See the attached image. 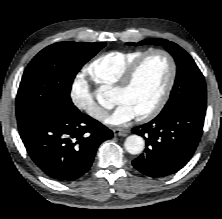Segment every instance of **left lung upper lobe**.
I'll list each match as a JSON object with an SVG mask.
<instances>
[{"label":"left lung upper lobe","mask_w":222,"mask_h":219,"mask_svg":"<svg viewBox=\"0 0 222 219\" xmlns=\"http://www.w3.org/2000/svg\"><path fill=\"white\" fill-rule=\"evenodd\" d=\"M128 45H163L174 57L177 64V75L170 99L163 110L179 103H187L199 108H206L207 94L204 76L192 57L177 44L165 39H147Z\"/></svg>","instance_id":"left-lung-upper-lobe-1"}]
</instances>
